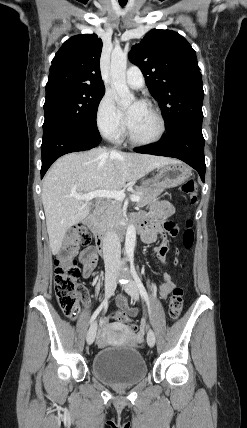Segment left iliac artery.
Returning a JSON list of instances; mask_svg holds the SVG:
<instances>
[{
  "mask_svg": "<svg viewBox=\"0 0 247 428\" xmlns=\"http://www.w3.org/2000/svg\"><path fill=\"white\" fill-rule=\"evenodd\" d=\"M130 266H131V272L133 274V277L135 279V282L138 286V289L140 291L141 296L144 298V300L146 301L147 307H148V311L149 314L151 313V309H150V301H149V297L148 294L146 292V289L141 281V279L139 278L136 270H135V266H134V260L133 257H130Z\"/></svg>",
  "mask_w": 247,
  "mask_h": 428,
  "instance_id": "1",
  "label": "left iliac artery"
}]
</instances>
